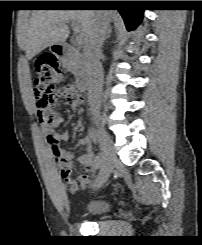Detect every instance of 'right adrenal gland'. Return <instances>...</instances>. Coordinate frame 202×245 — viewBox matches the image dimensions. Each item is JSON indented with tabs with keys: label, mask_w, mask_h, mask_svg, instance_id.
<instances>
[{
	"label": "right adrenal gland",
	"mask_w": 202,
	"mask_h": 245,
	"mask_svg": "<svg viewBox=\"0 0 202 245\" xmlns=\"http://www.w3.org/2000/svg\"><path fill=\"white\" fill-rule=\"evenodd\" d=\"M111 33H112V29L110 28L108 30V33H107V36H106V39L105 40H107V39H109L111 37Z\"/></svg>",
	"instance_id": "right-adrenal-gland-1"
}]
</instances>
